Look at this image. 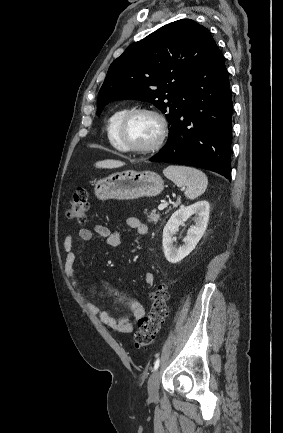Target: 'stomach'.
<instances>
[{
    "mask_svg": "<svg viewBox=\"0 0 283 433\" xmlns=\"http://www.w3.org/2000/svg\"><path fill=\"white\" fill-rule=\"evenodd\" d=\"M164 188V182L153 170H123L109 174L106 178L96 180L94 194L100 200L117 198V200H133L140 196H157Z\"/></svg>",
    "mask_w": 283,
    "mask_h": 433,
    "instance_id": "obj_1",
    "label": "stomach"
}]
</instances>
